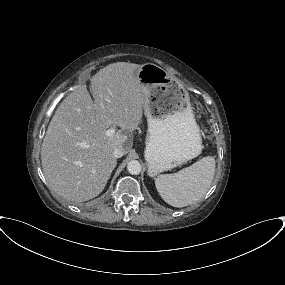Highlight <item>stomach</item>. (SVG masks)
<instances>
[{"label":"stomach","instance_id":"1","mask_svg":"<svg viewBox=\"0 0 285 285\" xmlns=\"http://www.w3.org/2000/svg\"><path fill=\"white\" fill-rule=\"evenodd\" d=\"M137 75L146 91L144 156L153 177L200 155L202 138L189 94L181 84L153 63L143 64Z\"/></svg>","mask_w":285,"mask_h":285}]
</instances>
